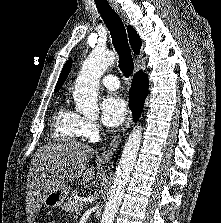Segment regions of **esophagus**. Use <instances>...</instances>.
Here are the masks:
<instances>
[{
    "label": "esophagus",
    "instance_id": "obj_1",
    "mask_svg": "<svg viewBox=\"0 0 221 223\" xmlns=\"http://www.w3.org/2000/svg\"><path fill=\"white\" fill-rule=\"evenodd\" d=\"M138 70V65L135 61V71ZM129 122H130V118H128L125 123L122 125L121 129L119 130L118 134L112 139V141L110 142L107 150H105L98 158L99 162L101 163H107L109 162L113 155L116 153L119 144L121 142V139L125 133V131L127 130L128 126H129Z\"/></svg>",
    "mask_w": 221,
    "mask_h": 223
}]
</instances>
